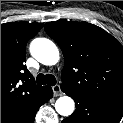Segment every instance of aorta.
<instances>
[{"label":"aorta","mask_w":123,"mask_h":123,"mask_svg":"<svg viewBox=\"0 0 123 123\" xmlns=\"http://www.w3.org/2000/svg\"><path fill=\"white\" fill-rule=\"evenodd\" d=\"M32 56L44 65H55L59 60V50L57 46L47 38H36L30 43ZM55 109L62 116H70L75 109V103L69 96L57 99Z\"/></svg>","instance_id":"obj_1"}]
</instances>
